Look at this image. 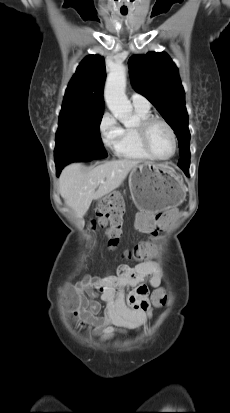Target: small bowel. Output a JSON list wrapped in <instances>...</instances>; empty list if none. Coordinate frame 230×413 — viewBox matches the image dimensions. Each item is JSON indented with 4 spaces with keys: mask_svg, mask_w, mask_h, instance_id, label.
<instances>
[{
    "mask_svg": "<svg viewBox=\"0 0 230 413\" xmlns=\"http://www.w3.org/2000/svg\"><path fill=\"white\" fill-rule=\"evenodd\" d=\"M178 205H169L162 214L156 212V218L150 210H139L134 226L140 231H166L171 227V218L179 213ZM149 277V284L154 291L149 296L148 286L144 283ZM162 271L151 260H145L136 266L119 265L113 274L94 279L85 276L70 288L68 300L72 314L78 318L80 327L88 326L94 335L111 339L127 330H139L152 317V297L155 293L165 294L161 287ZM132 291L125 296V288ZM98 298L105 303L104 315L98 313L102 306Z\"/></svg>",
    "mask_w": 230,
    "mask_h": 413,
    "instance_id": "c3829d8e",
    "label": "small bowel"
}]
</instances>
